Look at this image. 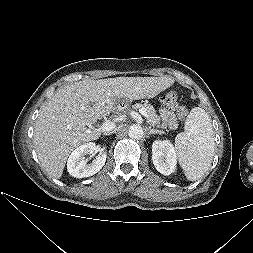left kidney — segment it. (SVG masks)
I'll return each instance as SVG.
<instances>
[{"instance_id":"obj_1","label":"left kidney","mask_w":253,"mask_h":253,"mask_svg":"<svg viewBox=\"0 0 253 253\" xmlns=\"http://www.w3.org/2000/svg\"><path fill=\"white\" fill-rule=\"evenodd\" d=\"M152 161L158 172L170 175L176 170L177 154L168 140H156L152 144Z\"/></svg>"}]
</instances>
